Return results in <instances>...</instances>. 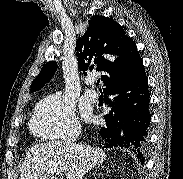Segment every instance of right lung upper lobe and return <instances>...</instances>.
I'll return each instance as SVG.
<instances>
[{
  "label": "right lung upper lobe",
  "instance_id": "cb5924a9",
  "mask_svg": "<svg viewBox=\"0 0 183 179\" xmlns=\"http://www.w3.org/2000/svg\"><path fill=\"white\" fill-rule=\"evenodd\" d=\"M84 36L76 42L78 67L85 75L88 71L103 72L104 86L133 73L141 64L134 41L117 22L104 16L89 20ZM57 63H46L31 85V91L39 90L54 75Z\"/></svg>",
  "mask_w": 183,
  "mask_h": 179
}]
</instances>
